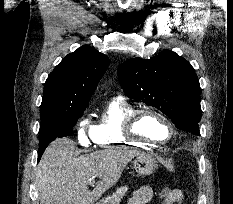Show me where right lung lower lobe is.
Listing matches in <instances>:
<instances>
[{"label": "right lung lower lobe", "instance_id": "1", "mask_svg": "<svg viewBox=\"0 0 233 204\" xmlns=\"http://www.w3.org/2000/svg\"><path fill=\"white\" fill-rule=\"evenodd\" d=\"M48 145H45V146H40L39 147V151H38V161L40 160L45 148L47 147Z\"/></svg>", "mask_w": 233, "mask_h": 204}]
</instances>
